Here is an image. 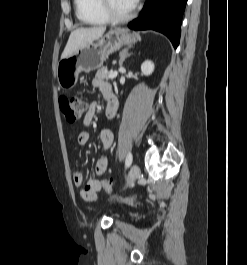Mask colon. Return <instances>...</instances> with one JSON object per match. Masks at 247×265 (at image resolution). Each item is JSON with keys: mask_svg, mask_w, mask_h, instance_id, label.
<instances>
[{"mask_svg": "<svg viewBox=\"0 0 247 265\" xmlns=\"http://www.w3.org/2000/svg\"><path fill=\"white\" fill-rule=\"evenodd\" d=\"M59 107L68 122H75L80 119L86 111L87 103L80 95L62 96L59 98ZM100 184L108 194H116L111 180L102 179ZM119 199L121 202L129 206L138 205V203L130 197L119 196Z\"/></svg>", "mask_w": 247, "mask_h": 265, "instance_id": "colon-1", "label": "colon"}]
</instances>
